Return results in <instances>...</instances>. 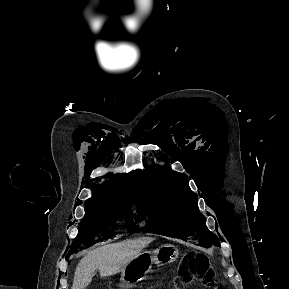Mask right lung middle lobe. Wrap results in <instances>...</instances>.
<instances>
[{
    "label": "right lung middle lobe",
    "instance_id": "1",
    "mask_svg": "<svg viewBox=\"0 0 289 289\" xmlns=\"http://www.w3.org/2000/svg\"><path fill=\"white\" fill-rule=\"evenodd\" d=\"M131 202L85 204V216L81 220L78 235L73 240L69 254L80 248H88L97 242V238L109 239L113 236V230L117 218H123L130 232H139L137 223L139 217H135Z\"/></svg>",
    "mask_w": 289,
    "mask_h": 289
}]
</instances>
